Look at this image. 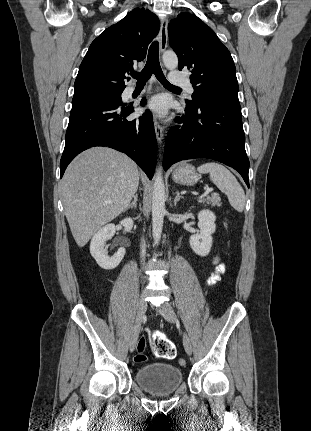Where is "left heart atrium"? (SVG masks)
Listing matches in <instances>:
<instances>
[{"label": "left heart atrium", "instance_id": "1", "mask_svg": "<svg viewBox=\"0 0 311 431\" xmlns=\"http://www.w3.org/2000/svg\"><path fill=\"white\" fill-rule=\"evenodd\" d=\"M169 106V98L166 95L156 94L145 101L142 111L147 115L163 118L167 115Z\"/></svg>", "mask_w": 311, "mask_h": 431}]
</instances>
